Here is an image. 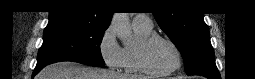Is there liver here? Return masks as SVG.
<instances>
[{
  "instance_id": "obj_1",
  "label": "liver",
  "mask_w": 255,
  "mask_h": 79,
  "mask_svg": "<svg viewBox=\"0 0 255 79\" xmlns=\"http://www.w3.org/2000/svg\"><path fill=\"white\" fill-rule=\"evenodd\" d=\"M36 79H146V77L122 75L113 70L90 68L65 61L48 65Z\"/></svg>"
}]
</instances>
